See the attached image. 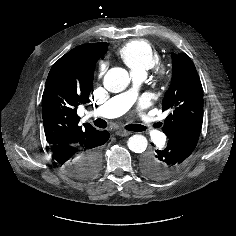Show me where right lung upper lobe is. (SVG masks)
<instances>
[{
  "label": "right lung upper lobe",
  "instance_id": "obj_1",
  "mask_svg": "<svg viewBox=\"0 0 236 236\" xmlns=\"http://www.w3.org/2000/svg\"><path fill=\"white\" fill-rule=\"evenodd\" d=\"M107 46L80 45L52 66L42 96L43 125L51 150L70 145L82 147L99 132L88 123L78 125L77 107L89 100L95 64Z\"/></svg>",
  "mask_w": 236,
  "mask_h": 236
}]
</instances>
